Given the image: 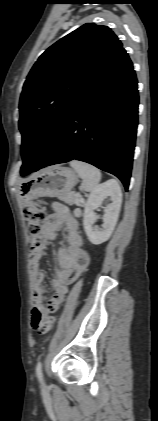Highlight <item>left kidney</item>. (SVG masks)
Wrapping results in <instances>:
<instances>
[{
    "instance_id": "obj_1",
    "label": "left kidney",
    "mask_w": 158,
    "mask_h": 421,
    "mask_svg": "<svg viewBox=\"0 0 158 421\" xmlns=\"http://www.w3.org/2000/svg\"><path fill=\"white\" fill-rule=\"evenodd\" d=\"M110 197L111 203L105 208L102 228L93 224L97 220L95 210L100 207L103 201ZM122 203V192L118 182L114 179L98 185L89 195L84 209L83 226L89 241L94 245L106 242L118 220Z\"/></svg>"
}]
</instances>
